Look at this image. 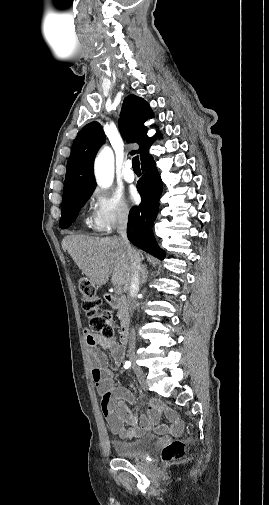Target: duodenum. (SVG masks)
Instances as JSON below:
<instances>
[{
  "label": "duodenum",
  "instance_id": "1",
  "mask_svg": "<svg viewBox=\"0 0 269 505\" xmlns=\"http://www.w3.org/2000/svg\"><path fill=\"white\" fill-rule=\"evenodd\" d=\"M104 299L106 303L120 311L121 313V326L119 330V339L122 344H125L129 338V305L124 297L116 296L113 294H105Z\"/></svg>",
  "mask_w": 269,
  "mask_h": 505
}]
</instances>
